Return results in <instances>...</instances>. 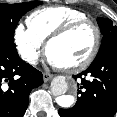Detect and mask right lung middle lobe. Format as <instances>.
<instances>
[{
    "label": "right lung middle lobe",
    "instance_id": "dd1d6c3e",
    "mask_svg": "<svg viewBox=\"0 0 117 117\" xmlns=\"http://www.w3.org/2000/svg\"><path fill=\"white\" fill-rule=\"evenodd\" d=\"M42 4L41 1H31L17 4L0 3V43L15 48L14 32L19 19L29 10Z\"/></svg>",
    "mask_w": 117,
    "mask_h": 117
}]
</instances>
